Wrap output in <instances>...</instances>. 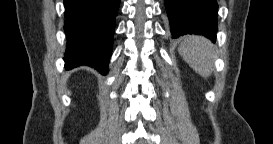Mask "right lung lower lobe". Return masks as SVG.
<instances>
[{
	"label": "right lung lower lobe",
	"instance_id": "right-lung-lower-lobe-1",
	"mask_svg": "<svg viewBox=\"0 0 273 144\" xmlns=\"http://www.w3.org/2000/svg\"><path fill=\"white\" fill-rule=\"evenodd\" d=\"M120 0H64L65 67L88 65L106 75Z\"/></svg>",
	"mask_w": 273,
	"mask_h": 144
}]
</instances>
